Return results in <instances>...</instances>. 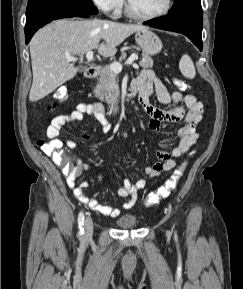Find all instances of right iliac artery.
<instances>
[{
  "mask_svg": "<svg viewBox=\"0 0 243 289\" xmlns=\"http://www.w3.org/2000/svg\"><path fill=\"white\" fill-rule=\"evenodd\" d=\"M83 225H84V214L81 211L78 215V234H79V236H82L84 234Z\"/></svg>",
  "mask_w": 243,
  "mask_h": 289,
  "instance_id": "1",
  "label": "right iliac artery"
}]
</instances>
